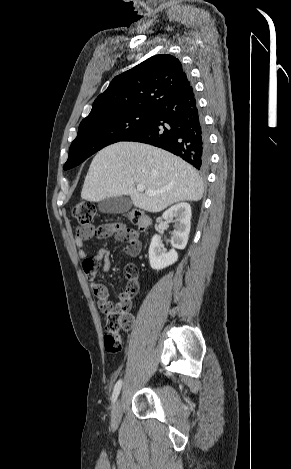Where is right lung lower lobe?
<instances>
[{
    "instance_id": "right-lung-lower-lobe-1",
    "label": "right lung lower lobe",
    "mask_w": 291,
    "mask_h": 469,
    "mask_svg": "<svg viewBox=\"0 0 291 469\" xmlns=\"http://www.w3.org/2000/svg\"><path fill=\"white\" fill-rule=\"evenodd\" d=\"M122 141L163 148L204 171L209 165V140L192 86L179 89L159 103L152 117Z\"/></svg>"
}]
</instances>
